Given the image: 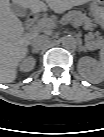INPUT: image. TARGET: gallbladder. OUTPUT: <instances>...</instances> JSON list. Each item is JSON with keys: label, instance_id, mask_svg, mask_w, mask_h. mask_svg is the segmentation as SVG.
<instances>
[{"label": "gallbladder", "instance_id": "obj_1", "mask_svg": "<svg viewBox=\"0 0 104 137\" xmlns=\"http://www.w3.org/2000/svg\"><path fill=\"white\" fill-rule=\"evenodd\" d=\"M10 9L16 16H19V17H24L27 14L26 8L16 4H12L10 6Z\"/></svg>", "mask_w": 104, "mask_h": 137}]
</instances>
